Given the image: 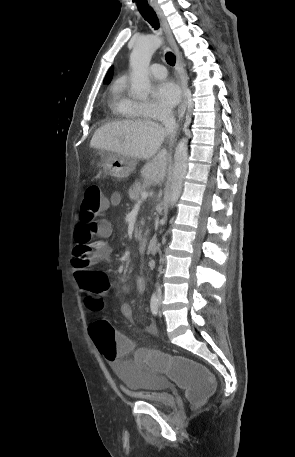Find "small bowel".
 Returning a JSON list of instances; mask_svg holds the SVG:
<instances>
[{"label":"small bowel","mask_w":295,"mask_h":457,"mask_svg":"<svg viewBox=\"0 0 295 457\" xmlns=\"http://www.w3.org/2000/svg\"><path fill=\"white\" fill-rule=\"evenodd\" d=\"M121 202V194L115 192L110 196L108 205L116 207L119 206ZM112 232V225L106 218H101L91 223L79 222L76 225L75 250L80 246H86L89 248L86 256L87 263L84 267L79 268L75 266V254L72 261L74 279L84 294L87 292V271H95L94 267L97 265L112 261L111 248L105 241V239L112 235ZM94 237H98L100 240H93ZM136 288L140 293L145 291L146 284L142 278H138L136 280ZM120 312L125 318L131 319L133 317L132 306L129 303H122L120 306ZM148 330L153 333L155 331L154 325L149 324ZM128 341L131 340L128 339ZM110 361L112 362V360Z\"/></svg>","instance_id":"small-bowel-1"}]
</instances>
